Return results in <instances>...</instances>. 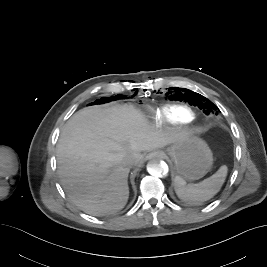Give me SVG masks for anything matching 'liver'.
Here are the masks:
<instances>
[{
    "label": "liver",
    "mask_w": 267,
    "mask_h": 267,
    "mask_svg": "<svg viewBox=\"0 0 267 267\" xmlns=\"http://www.w3.org/2000/svg\"><path fill=\"white\" fill-rule=\"evenodd\" d=\"M182 134L151 125L132 106L86 107L64 126L57 144L58 175L70 200L91 215L124 208L129 198L126 157L174 143Z\"/></svg>",
    "instance_id": "obj_1"
}]
</instances>
